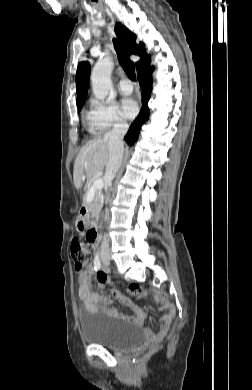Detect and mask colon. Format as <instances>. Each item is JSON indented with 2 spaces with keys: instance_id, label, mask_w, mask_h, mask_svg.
<instances>
[{
  "instance_id": "colon-1",
  "label": "colon",
  "mask_w": 252,
  "mask_h": 390,
  "mask_svg": "<svg viewBox=\"0 0 252 390\" xmlns=\"http://www.w3.org/2000/svg\"><path fill=\"white\" fill-rule=\"evenodd\" d=\"M93 237L92 231L88 230L86 234V242L82 239L75 237L71 242V255L73 259L74 269L76 272L81 273L87 269L91 261V239ZM131 293L140 291V288L136 284L129 286Z\"/></svg>"
}]
</instances>
